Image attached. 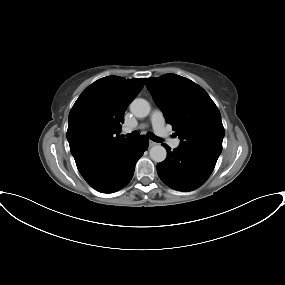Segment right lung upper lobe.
I'll return each mask as SVG.
<instances>
[{
    "instance_id": "cb5924a9",
    "label": "right lung upper lobe",
    "mask_w": 285,
    "mask_h": 285,
    "mask_svg": "<svg viewBox=\"0 0 285 285\" xmlns=\"http://www.w3.org/2000/svg\"><path fill=\"white\" fill-rule=\"evenodd\" d=\"M144 79L101 78L87 87L69 114L67 139L76 164L113 145L120 136L124 113L144 86Z\"/></svg>"
}]
</instances>
